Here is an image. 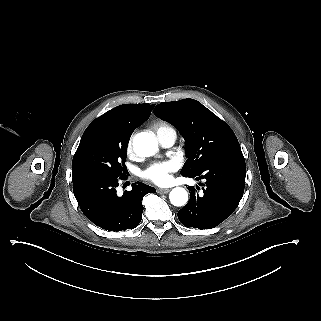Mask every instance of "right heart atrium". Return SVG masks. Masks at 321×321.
I'll return each mask as SVG.
<instances>
[{
	"mask_svg": "<svg viewBox=\"0 0 321 321\" xmlns=\"http://www.w3.org/2000/svg\"><path fill=\"white\" fill-rule=\"evenodd\" d=\"M126 151L127 154L132 156L134 154V145H133V134H131L128 138L127 144H126Z\"/></svg>",
	"mask_w": 321,
	"mask_h": 321,
	"instance_id": "1",
	"label": "right heart atrium"
}]
</instances>
